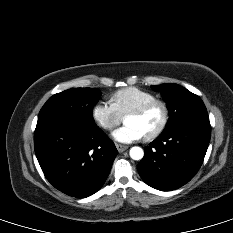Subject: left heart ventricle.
I'll use <instances>...</instances> for the list:
<instances>
[{"label":"left heart ventricle","mask_w":233,"mask_h":233,"mask_svg":"<svg viewBox=\"0 0 233 233\" xmlns=\"http://www.w3.org/2000/svg\"><path fill=\"white\" fill-rule=\"evenodd\" d=\"M163 112L160 106L156 105L140 116H128L125 123L138 127L144 136L152 133L161 123Z\"/></svg>","instance_id":"b2bd125f"}]
</instances>
